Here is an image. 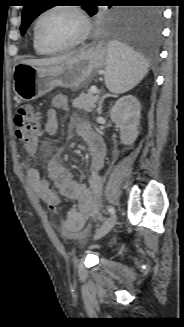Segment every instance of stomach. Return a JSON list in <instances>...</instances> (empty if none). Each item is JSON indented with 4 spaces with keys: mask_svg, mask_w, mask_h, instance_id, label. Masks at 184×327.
Listing matches in <instances>:
<instances>
[{
    "mask_svg": "<svg viewBox=\"0 0 184 327\" xmlns=\"http://www.w3.org/2000/svg\"><path fill=\"white\" fill-rule=\"evenodd\" d=\"M107 46L97 43L71 58L50 66L18 63L13 69V90L19 100L38 99L54 87L78 90L100 73L107 63Z\"/></svg>",
    "mask_w": 184,
    "mask_h": 327,
    "instance_id": "1",
    "label": "stomach"
}]
</instances>
